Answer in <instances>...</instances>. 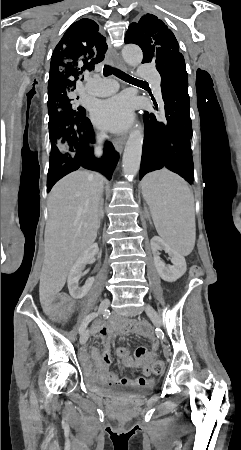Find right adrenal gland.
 Instances as JSON below:
<instances>
[{
  "label": "right adrenal gland",
  "mask_w": 241,
  "mask_h": 450,
  "mask_svg": "<svg viewBox=\"0 0 241 450\" xmlns=\"http://www.w3.org/2000/svg\"><path fill=\"white\" fill-rule=\"evenodd\" d=\"M103 214H104V212H102L101 216H99V218H98V228H100L101 218H102Z\"/></svg>",
  "instance_id": "obj_1"
}]
</instances>
